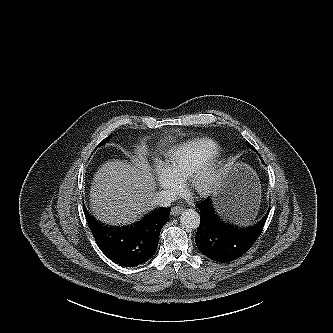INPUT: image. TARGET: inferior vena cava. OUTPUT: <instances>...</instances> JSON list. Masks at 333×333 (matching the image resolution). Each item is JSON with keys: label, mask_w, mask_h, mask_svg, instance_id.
<instances>
[{"label": "inferior vena cava", "mask_w": 333, "mask_h": 333, "mask_svg": "<svg viewBox=\"0 0 333 333\" xmlns=\"http://www.w3.org/2000/svg\"><path fill=\"white\" fill-rule=\"evenodd\" d=\"M176 200V196L173 192L169 190H162L155 194L152 199V204L162 207H168L172 202Z\"/></svg>", "instance_id": "inferior-vena-cava-1"}]
</instances>
